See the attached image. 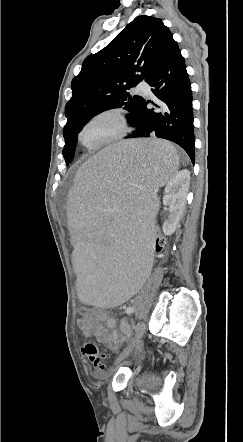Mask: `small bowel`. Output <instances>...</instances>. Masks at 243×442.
<instances>
[{"label": "small bowel", "mask_w": 243, "mask_h": 442, "mask_svg": "<svg viewBox=\"0 0 243 442\" xmlns=\"http://www.w3.org/2000/svg\"><path fill=\"white\" fill-rule=\"evenodd\" d=\"M79 313L78 326L83 335L96 337L110 350H117L120 343L130 334L127 322L121 323L123 333L120 334L115 318L98 308L83 307Z\"/></svg>", "instance_id": "c3829d8e"}]
</instances>
